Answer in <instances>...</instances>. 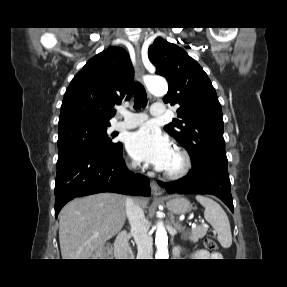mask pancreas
I'll list each match as a JSON object with an SVG mask.
<instances>
[{
  "instance_id": "1",
  "label": "pancreas",
  "mask_w": 287,
  "mask_h": 287,
  "mask_svg": "<svg viewBox=\"0 0 287 287\" xmlns=\"http://www.w3.org/2000/svg\"><path fill=\"white\" fill-rule=\"evenodd\" d=\"M208 231V227L201 225V226H196L191 229L190 233V240L192 242H197L200 238H203Z\"/></svg>"
}]
</instances>
